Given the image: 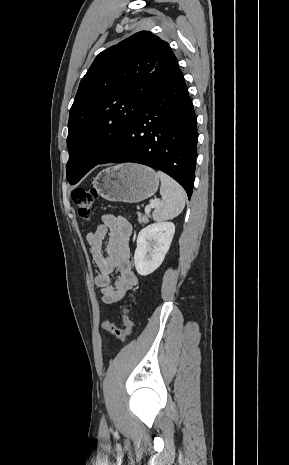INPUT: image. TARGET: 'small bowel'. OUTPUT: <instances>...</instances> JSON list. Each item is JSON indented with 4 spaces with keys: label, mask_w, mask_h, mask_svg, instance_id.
<instances>
[{
    "label": "small bowel",
    "mask_w": 289,
    "mask_h": 465,
    "mask_svg": "<svg viewBox=\"0 0 289 465\" xmlns=\"http://www.w3.org/2000/svg\"><path fill=\"white\" fill-rule=\"evenodd\" d=\"M131 237V224L123 217L112 214L103 215L96 230L86 235L92 258L100 271L94 277V282L105 304L122 301L137 284L130 262ZM113 272L117 274L112 281Z\"/></svg>",
    "instance_id": "c3829d8e"
}]
</instances>
